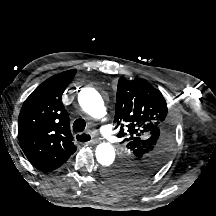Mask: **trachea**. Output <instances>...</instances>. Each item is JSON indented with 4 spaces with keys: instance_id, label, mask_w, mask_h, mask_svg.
<instances>
[{
    "instance_id": "obj_1",
    "label": "trachea",
    "mask_w": 216,
    "mask_h": 216,
    "mask_svg": "<svg viewBox=\"0 0 216 216\" xmlns=\"http://www.w3.org/2000/svg\"><path fill=\"white\" fill-rule=\"evenodd\" d=\"M85 127H86V122L84 119H81V118L77 119L73 123V130L75 132H83ZM77 139L78 141H81V142H86L89 140V138H85L84 136L78 137Z\"/></svg>"
}]
</instances>
